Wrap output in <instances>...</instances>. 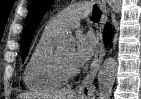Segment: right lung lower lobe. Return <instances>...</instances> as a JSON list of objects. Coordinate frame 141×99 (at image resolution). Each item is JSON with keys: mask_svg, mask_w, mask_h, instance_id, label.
Returning <instances> with one entry per match:
<instances>
[{"mask_svg": "<svg viewBox=\"0 0 141 99\" xmlns=\"http://www.w3.org/2000/svg\"><path fill=\"white\" fill-rule=\"evenodd\" d=\"M112 37V29L110 24H107L104 30V41L108 43Z\"/></svg>", "mask_w": 141, "mask_h": 99, "instance_id": "98d812e1", "label": "right lung lower lobe"}]
</instances>
